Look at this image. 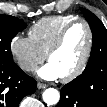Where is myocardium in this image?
I'll use <instances>...</instances> for the list:
<instances>
[{
  "label": "myocardium",
  "instance_id": "obj_1",
  "mask_svg": "<svg viewBox=\"0 0 107 107\" xmlns=\"http://www.w3.org/2000/svg\"><path fill=\"white\" fill-rule=\"evenodd\" d=\"M76 24H82L86 28L87 36H88L87 46L78 67L70 74L61 77L62 81L65 83H68L77 79L79 76L83 74V72L88 66V63L90 61L92 51H93V45H94V34L90 24L86 20L81 18H76L73 21L69 22L60 31L55 42L53 43V45L50 47V49L46 54L47 60H50V57L62 47L69 30Z\"/></svg>",
  "mask_w": 107,
  "mask_h": 107
}]
</instances>
